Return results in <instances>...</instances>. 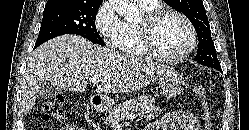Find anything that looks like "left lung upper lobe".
<instances>
[{"mask_svg": "<svg viewBox=\"0 0 249 130\" xmlns=\"http://www.w3.org/2000/svg\"><path fill=\"white\" fill-rule=\"evenodd\" d=\"M166 4L182 12L193 24L199 40L195 61L215 69L221 68L211 38L209 21L202 0H164Z\"/></svg>", "mask_w": 249, "mask_h": 130, "instance_id": "5c2ea615", "label": "left lung upper lobe"}]
</instances>
